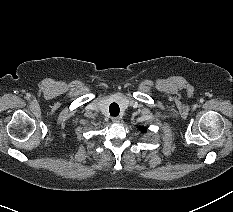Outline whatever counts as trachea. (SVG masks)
Returning a JSON list of instances; mask_svg holds the SVG:
<instances>
[{
	"label": "trachea",
	"mask_w": 233,
	"mask_h": 212,
	"mask_svg": "<svg viewBox=\"0 0 233 212\" xmlns=\"http://www.w3.org/2000/svg\"><path fill=\"white\" fill-rule=\"evenodd\" d=\"M109 111L111 116H118L120 112L119 105L117 103H112L109 107Z\"/></svg>",
	"instance_id": "1"
}]
</instances>
